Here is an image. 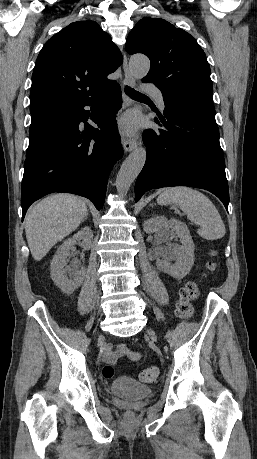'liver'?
Masks as SVG:
<instances>
[{"instance_id":"obj_1","label":"liver","mask_w":257,"mask_h":459,"mask_svg":"<svg viewBox=\"0 0 257 459\" xmlns=\"http://www.w3.org/2000/svg\"><path fill=\"white\" fill-rule=\"evenodd\" d=\"M87 214L86 204L70 194H54L33 206L25 218V233L34 260L40 261L76 230Z\"/></svg>"}]
</instances>
